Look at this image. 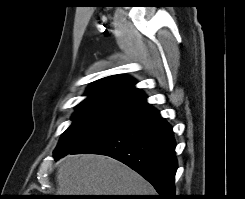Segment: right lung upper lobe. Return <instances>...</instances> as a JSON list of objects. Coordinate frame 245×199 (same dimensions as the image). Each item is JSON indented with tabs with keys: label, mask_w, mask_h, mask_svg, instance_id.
Wrapping results in <instances>:
<instances>
[{
	"label": "right lung upper lobe",
	"mask_w": 245,
	"mask_h": 199,
	"mask_svg": "<svg viewBox=\"0 0 245 199\" xmlns=\"http://www.w3.org/2000/svg\"><path fill=\"white\" fill-rule=\"evenodd\" d=\"M135 84L134 79L124 75L100 79L89 87L87 98L77 108H95L127 117L151 108L145 94Z\"/></svg>",
	"instance_id": "right-lung-upper-lobe-1"
}]
</instances>
